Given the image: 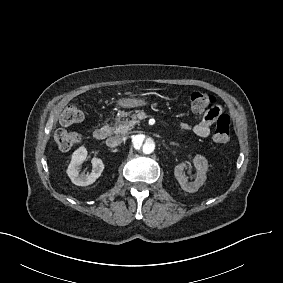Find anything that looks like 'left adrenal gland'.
Wrapping results in <instances>:
<instances>
[{
	"label": "left adrenal gland",
	"instance_id": "1",
	"mask_svg": "<svg viewBox=\"0 0 283 283\" xmlns=\"http://www.w3.org/2000/svg\"><path fill=\"white\" fill-rule=\"evenodd\" d=\"M170 145L178 146L179 144H178V143H175V142H170Z\"/></svg>",
	"mask_w": 283,
	"mask_h": 283
}]
</instances>
